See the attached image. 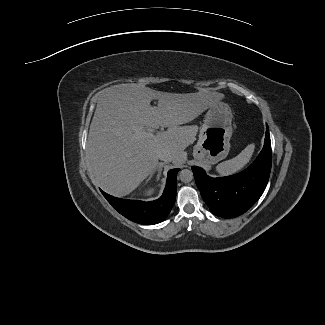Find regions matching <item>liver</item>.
<instances>
[{"label":"liver","instance_id":"1","mask_svg":"<svg viewBox=\"0 0 325 325\" xmlns=\"http://www.w3.org/2000/svg\"><path fill=\"white\" fill-rule=\"evenodd\" d=\"M225 96L200 91L176 94L140 84H119L104 89L90 124L87 155L92 179L105 192L125 196L153 173L158 154L170 151L175 166L186 159L184 150L198 127L180 126L197 118ZM158 100V107L151 101ZM168 127L152 138L135 136L137 127Z\"/></svg>","mask_w":325,"mask_h":325}]
</instances>
